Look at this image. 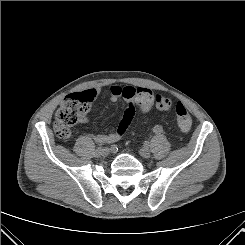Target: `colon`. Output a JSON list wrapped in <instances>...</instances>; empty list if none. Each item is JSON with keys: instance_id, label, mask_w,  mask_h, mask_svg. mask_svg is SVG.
Returning a JSON list of instances; mask_svg holds the SVG:
<instances>
[{"instance_id": "colon-1", "label": "colon", "mask_w": 245, "mask_h": 245, "mask_svg": "<svg viewBox=\"0 0 245 245\" xmlns=\"http://www.w3.org/2000/svg\"><path fill=\"white\" fill-rule=\"evenodd\" d=\"M95 94L94 90H87L65 98L55 115L54 131L58 138L65 140L70 137L71 128L83 119ZM153 96L154 94L149 89H136V104L143 113H147L154 104ZM175 112L179 129L184 133L189 132L192 119L186 107L179 102L175 106Z\"/></svg>"}]
</instances>
